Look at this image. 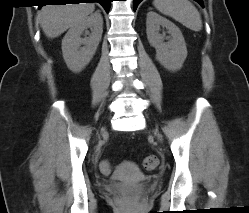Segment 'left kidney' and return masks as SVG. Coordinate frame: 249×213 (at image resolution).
<instances>
[{"label":"left kidney","mask_w":249,"mask_h":213,"mask_svg":"<svg viewBox=\"0 0 249 213\" xmlns=\"http://www.w3.org/2000/svg\"><path fill=\"white\" fill-rule=\"evenodd\" d=\"M160 26L170 34L167 43L164 42V36L159 34ZM146 27L148 41L156 49L159 63L169 71L179 70L187 57L186 43L180 29L153 11L147 14Z\"/></svg>","instance_id":"obj_1"}]
</instances>
